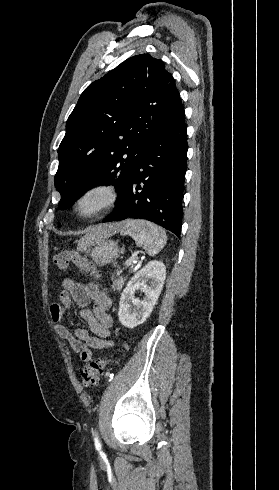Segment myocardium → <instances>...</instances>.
<instances>
[{"label":"myocardium","mask_w":279,"mask_h":490,"mask_svg":"<svg viewBox=\"0 0 279 490\" xmlns=\"http://www.w3.org/2000/svg\"><path fill=\"white\" fill-rule=\"evenodd\" d=\"M92 196L95 200L87 205ZM119 199L120 191L113 182L104 179L91 180L80 187L73 210L79 218L90 219L114 207Z\"/></svg>","instance_id":"obj_1"}]
</instances>
